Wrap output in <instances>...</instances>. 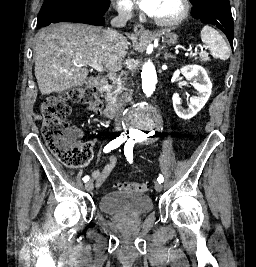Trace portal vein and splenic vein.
Segmentation results:
<instances>
[{"mask_svg": "<svg viewBox=\"0 0 256 267\" xmlns=\"http://www.w3.org/2000/svg\"><path fill=\"white\" fill-rule=\"evenodd\" d=\"M198 55V52L196 51H192L191 55L188 56L189 60L193 59V56ZM80 66H91V68H94V70H97V72H103L104 68L102 66V64H98V62H92V64H80Z\"/></svg>", "mask_w": 256, "mask_h": 267, "instance_id": "18ae733b", "label": "portal vein and splenic vein"}]
</instances>
